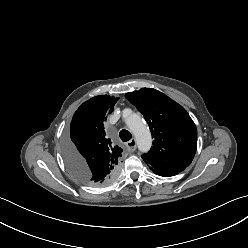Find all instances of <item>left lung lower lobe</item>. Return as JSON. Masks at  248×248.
Here are the masks:
<instances>
[{
  "label": "left lung lower lobe",
  "instance_id": "1",
  "mask_svg": "<svg viewBox=\"0 0 248 248\" xmlns=\"http://www.w3.org/2000/svg\"><path fill=\"white\" fill-rule=\"evenodd\" d=\"M153 172L159 176H163V177H170V176H174L177 175L178 173H180L181 171H183L184 169H172V170H157V169H153Z\"/></svg>",
  "mask_w": 248,
  "mask_h": 248
}]
</instances>
